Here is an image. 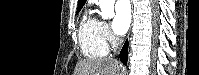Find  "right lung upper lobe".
Segmentation results:
<instances>
[{"label":"right lung upper lobe","instance_id":"cb5924a9","mask_svg":"<svg viewBox=\"0 0 199 75\" xmlns=\"http://www.w3.org/2000/svg\"><path fill=\"white\" fill-rule=\"evenodd\" d=\"M85 2H86V0H78L77 13L82 9V7L85 4Z\"/></svg>","mask_w":199,"mask_h":75}]
</instances>
